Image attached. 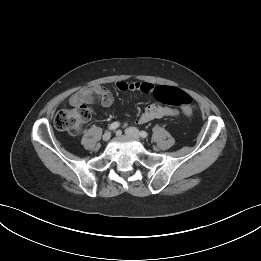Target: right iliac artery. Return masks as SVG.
I'll return each instance as SVG.
<instances>
[{
  "mask_svg": "<svg viewBox=\"0 0 261 261\" xmlns=\"http://www.w3.org/2000/svg\"><path fill=\"white\" fill-rule=\"evenodd\" d=\"M120 126L119 122H113L112 124H110L109 129L110 130H115Z\"/></svg>",
  "mask_w": 261,
  "mask_h": 261,
  "instance_id": "82829eb1",
  "label": "right iliac artery"
}]
</instances>
